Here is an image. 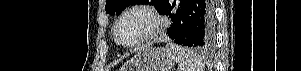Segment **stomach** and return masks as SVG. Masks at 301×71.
<instances>
[{"label": "stomach", "instance_id": "1", "mask_svg": "<svg viewBox=\"0 0 301 71\" xmlns=\"http://www.w3.org/2000/svg\"><path fill=\"white\" fill-rule=\"evenodd\" d=\"M174 60L163 48L146 47L139 50L121 71H171Z\"/></svg>", "mask_w": 301, "mask_h": 71}]
</instances>
